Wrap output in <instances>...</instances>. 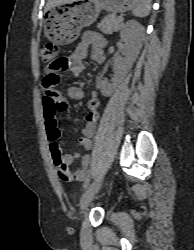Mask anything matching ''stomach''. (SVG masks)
<instances>
[{
	"label": "stomach",
	"instance_id": "stomach-1",
	"mask_svg": "<svg viewBox=\"0 0 194 250\" xmlns=\"http://www.w3.org/2000/svg\"><path fill=\"white\" fill-rule=\"evenodd\" d=\"M140 3V0H89L72 7L56 5L46 12L45 36L59 45L74 42L83 27L96 21L101 10L114 13L126 12Z\"/></svg>",
	"mask_w": 194,
	"mask_h": 250
}]
</instances>
